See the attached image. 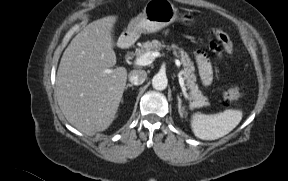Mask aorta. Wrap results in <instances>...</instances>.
Returning a JSON list of instances; mask_svg holds the SVG:
<instances>
[{
    "label": "aorta",
    "instance_id": "obj_1",
    "mask_svg": "<svg viewBox=\"0 0 288 181\" xmlns=\"http://www.w3.org/2000/svg\"><path fill=\"white\" fill-rule=\"evenodd\" d=\"M168 85V79L166 75L162 73L156 74L152 79V86L156 90H164Z\"/></svg>",
    "mask_w": 288,
    "mask_h": 181
}]
</instances>
